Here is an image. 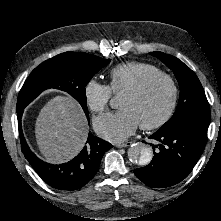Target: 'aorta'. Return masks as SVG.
I'll list each match as a JSON object with an SVG mask.
<instances>
[{"instance_id": "obj_1", "label": "aorta", "mask_w": 221, "mask_h": 221, "mask_svg": "<svg viewBox=\"0 0 221 221\" xmlns=\"http://www.w3.org/2000/svg\"><path fill=\"white\" fill-rule=\"evenodd\" d=\"M111 106H115V101L112 100ZM128 158L135 164L140 166L148 165L153 158V150L150 146L143 143H134L128 149Z\"/></svg>"}]
</instances>
